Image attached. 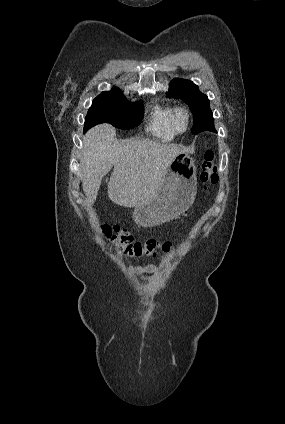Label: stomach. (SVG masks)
<instances>
[{
    "label": "stomach",
    "mask_w": 285,
    "mask_h": 424,
    "mask_svg": "<svg viewBox=\"0 0 285 424\" xmlns=\"http://www.w3.org/2000/svg\"><path fill=\"white\" fill-rule=\"evenodd\" d=\"M197 194L194 160L182 152L168 166L156 196L135 207L133 219L143 227L169 222L183 214L193 204Z\"/></svg>",
    "instance_id": "0dacf381"
}]
</instances>
